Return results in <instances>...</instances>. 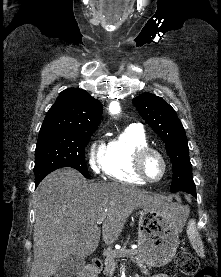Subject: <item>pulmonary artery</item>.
<instances>
[{
    "mask_svg": "<svg viewBox=\"0 0 221 277\" xmlns=\"http://www.w3.org/2000/svg\"><path fill=\"white\" fill-rule=\"evenodd\" d=\"M132 126L140 127V125H139V124H133Z\"/></svg>",
    "mask_w": 221,
    "mask_h": 277,
    "instance_id": "e3ab8cb5",
    "label": "pulmonary artery"
}]
</instances>
